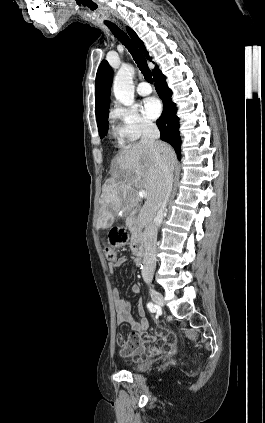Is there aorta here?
Here are the masks:
<instances>
[{
  "label": "aorta",
  "instance_id": "762f6f07",
  "mask_svg": "<svg viewBox=\"0 0 265 423\" xmlns=\"http://www.w3.org/2000/svg\"><path fill=\"white\" fill-rule=\"evenodd\" d=\"M134 73V67L126 64L120 67L114 78V96L124 106H131L134 103Z\"/></svg>",
  "mask_w": 265,
  "mask_h": 423
}]
</instances>
